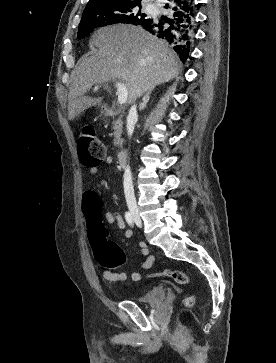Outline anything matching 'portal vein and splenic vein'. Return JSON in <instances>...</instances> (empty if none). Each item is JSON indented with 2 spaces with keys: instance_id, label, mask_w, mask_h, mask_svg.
Here are the masks:
<instances>
[{
  "instance_id": "obj_1",
  "label": "portal vein and splenic vein",
  "mask_w": 276,
  "mask_h": 363,
  "mask_svg": "<svg viewBox=\"0 0 276 363\" xmlns=\"http://www.w3.org/2000/svg\"><path fill=\"white\" fill-rule=\"evenodd\" d=\"M115 86L117 88L118 103L119 104L126 103L127 98H128V90H127L126 85L124 83L118 81V82H116ZM96 89H98V86L96 87Z\"/></svg>"
}]
</instances>
